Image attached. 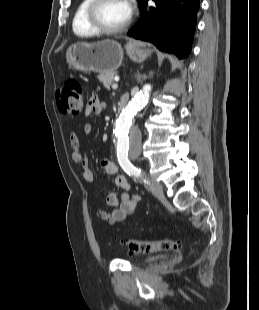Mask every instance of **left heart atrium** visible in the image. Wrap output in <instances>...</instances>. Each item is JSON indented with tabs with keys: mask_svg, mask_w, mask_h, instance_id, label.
I'll return each mask as SVG.
<instances>
[{
	"mask_svg": "<svg viewBox=\"0 0 259 310\" xmlns=\"http://www.w3.org/2000/svg\"><path fill=\"white\" fill-rule=\"evenodd\" d=\"M122 2L126 10L127 17L130 18L134 10L133 2L131 0H122Z\"/></svg>",
	"mask_w": 259,
	"mask_h": 310,
	"instance_id": "39dd6f15",
	"label": "left heart atrium"
}]
</instances>
